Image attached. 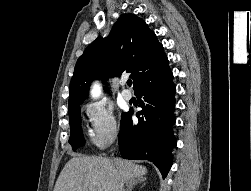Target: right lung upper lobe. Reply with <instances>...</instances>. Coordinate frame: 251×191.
<instances>
[{"mask_svg":"<svg viewBox=\"0 0 251 191\" xmlns=\"http://www.w3.org/2000/svg\"><path fill=\"white\" fill-rule=\"evenodd\" d=\"M131 73L135 92L171 73L161 43L136 15L123 14L107 38H97L79 57L70 83L68 107L79 106L88 97L92 80H107Z\"/></svg>","mask_w":251,"mask_h":191,"instance_id":"cb5924a9","label":"right lung upper lobe"}]
</instances>
